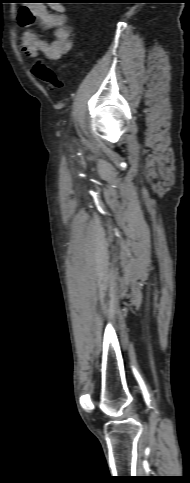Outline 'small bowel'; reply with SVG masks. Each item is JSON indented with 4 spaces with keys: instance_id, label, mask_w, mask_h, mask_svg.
<instances>
[{
    "instance_id": "obj_1",
    "label": "small bowel",
    "mask_w": 190,
    "mask_h": 483,
    "mask_svg": "<svg viewBox=\"0 0 190 483\" xmlns=\"http://www.w3.org/2000/svg\"><path fill=\"white\" fill-rule=\"evenodd\" d=\"M19 23L30 26L38 20L42 27L53 31V40L48 41L29 29H25L21 37V50L29 57L43 54L51 61L62 60L72 48V27L66 24L65 8L62 5H54L51 11L45 4L34 2L29 6H23L17 14Z\"/></svg>"
}]
</instances>
